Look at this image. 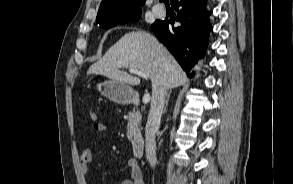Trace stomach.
Wrapping results in <instances>:
<instances>
[{"label": "stomach", "instance_id": "stomach-1", "mask_svg": "<svg viewBox=\"0 0 293 184\" xmlns=\"http://www.w3.org/2000/svg\"><path fill=\"white\" fill-rule=\"evenodd\" d=\"M97 91L117 104H128L136 97V92L126 83L107 80L96 85Z\"/></svg>", "mask_w": 293, "mask_h": 184}]
</instances>
